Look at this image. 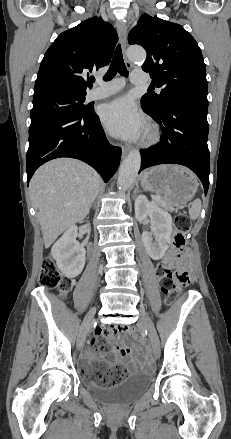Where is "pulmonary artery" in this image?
Wrapping results in <instances>:
<instances>
[{
    "label": "pulmonary artery",
    "instance_id": "obj_1",
    "mask_svg": "<svg viewBox=\"0 0 231 439\" xmlns=\"http://www.w3.org/2000/svg\"><path fill=\"white\" fill-rule=\"evenodd\" d=\"M130 81L132 84H135V85H146L149 83V78H148V75L144 71H142L140 69H136L132 72L131 77H130ZM124 84H125V82L121 78L114 79L106 84L99 83V85L97 87L88 91L87 99L89 101H92V100H98V99L105 98V97L121 90L123 88Z\"/></svg>",
    "mask_w": 231,
    "mask_h": 439
}]
</instances>
